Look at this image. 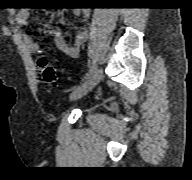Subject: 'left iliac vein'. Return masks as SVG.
<instances>
[{
	"label": "left iliac vein",
	"instance_id": "1",
	"mask_svg": "<svg viewBox=\"0 0 192 180\" xmlns=\"http://www.w3.org/2000/svg\"><path fill=\"white\" fill-rule=\"evenodd\" d=\"M102 78V69H96L93 74L86 79L83 84H81L73 93L72 98L78 99L90 92L101 80Z\"/></svg>",
	"mask_w": 192,
	"mask_h": 180
}]
</instances>
